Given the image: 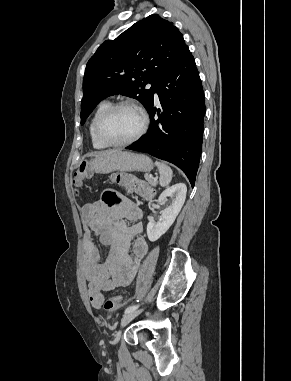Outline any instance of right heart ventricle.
<instances>
[{
  "mask_svg": "<svg viewBox=\"0 0 291 381\" xmlns=\"http://www.w3.org/2000/svg\"><path fill=\"white\" fill-rule=\"evenodd\" d=\"M111 106V103L108 102V101H103L101 102L97 109L95 110L91 120H90V124H89V135H90V140H91V144L92 146L95 148V149H105L109 146H107L106 144H104L98 137H97V134H96V130H95V125H96V121L97 119L99 118V116L106 110L108 109L109 107Z\"/></svg>",
  "mask_w": 291,
  "mask_h": 381,
  "instance_id": "obj_1",
  "label": "right heart ventricle"
}]
</instances>
